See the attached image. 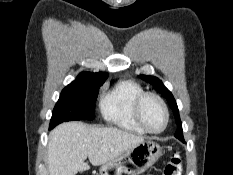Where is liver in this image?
<instances>
[{"mask_svg": "<svg viewBox=\"0 0 233 175\" xmlns=\"http://www.w3.org/2000/svg\"><path fill=\"white\" fill-rule=\"evenodd\" d=\"M144 141L138 136L113 127H96L82 122L58 125L49 134V175H76L93 166L103 165Z\"/></svg>", "mask_w": 233, "mask_h": 175, "instance_id": "obj_1", "label": "liver"}]
</instances>
